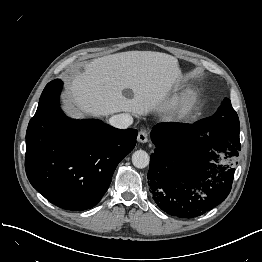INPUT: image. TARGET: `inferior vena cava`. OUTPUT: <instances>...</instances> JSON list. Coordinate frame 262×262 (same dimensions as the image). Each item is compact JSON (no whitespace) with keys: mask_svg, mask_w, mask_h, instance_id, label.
<instances>
[{"mask_svg":"<svg viewBox=\"0 0 262 262\" xmlns=\"http://www.w3.org/2000/svg\"><path fill=\"white\" fill-rule=\"evenodd\" d=\"M109 123L115 128L126 129L133 123V118L130 114L122 113L112 116Z\"/></svg>","mask_w":262,"mask_h":262,"instance_id":"602c4592","label":"inferior vena cava"}]
</instances>
